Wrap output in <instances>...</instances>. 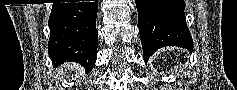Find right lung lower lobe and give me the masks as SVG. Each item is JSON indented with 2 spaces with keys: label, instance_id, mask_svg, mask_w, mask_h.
<instances>
[{
  "label": "right lung lower lobe",
  "instance_id": "98d812e1",
  "mask_svg": "<svg viewBox=\"0 0 237 90\" xmlns=\"http://www.w3.org/2000/svg\"><path fill=\"white\" fill-rule=\"evenodd\" d=\"M97 8V1L53 4L48 54L55 65L73 61L92 70L97 58Z\"/></svg>",
  "mask_w": 237,
  "mask_h": 90
}]
</instances>
